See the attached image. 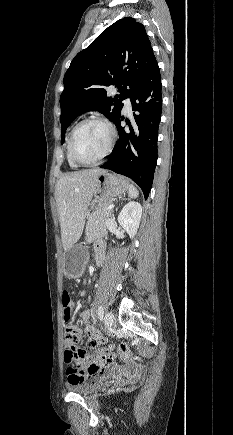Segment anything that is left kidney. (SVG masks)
<instances>
[{
	"label": "left kidney",
	"instance_id": "left-kidney-1",
	"mask_svg": "<svg viewBox=\"0 0 233 435\" xmlns=\"http://www.w3.org/2000/svg\"><path fill=\"white\" fill-rule=\"evenodd\" d=\"M142 215V206L135 201L128 202L118 215V222L122 228L133 238L139 228Z\"/></svg>",
	"mask_w": 233,
	"mask_h": 435
}]
</instances>
